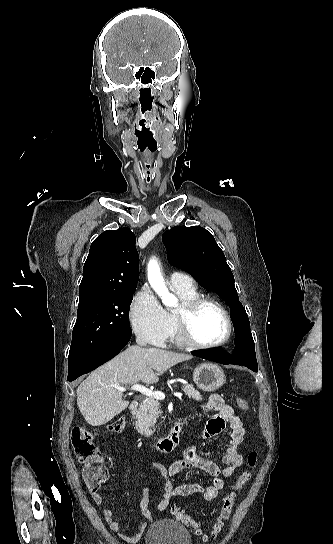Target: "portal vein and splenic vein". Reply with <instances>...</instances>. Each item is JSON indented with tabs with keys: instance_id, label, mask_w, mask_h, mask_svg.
I'll use <instances>...</instances> for the list:
<instances>
[{
	"instance_id": "portal-vein-and-splenic-vein-1",
	"label": "portal vein and splenic vein",
	"mask_w": 333,
	"mask_h": 544,
	"mask_svg": "<svg viewBox=\"0 0 333 544\" xmlns=\"http://www.w3.org/2000/svg\"><path fill=\"white\" fill-rule=\"evenodd\" d=\"M115 388L118 389L119 391L121 392H124L126 391V388L123 387V386H116L115 385ZM131 390H134V391H138L148 397H154L156 399H164L165 398V394L160 392V391H152L150 390L149 388L143 386V385H140V384H134L133 386H131ZM174 396L178 397V398H181L183 396L182 393H174Z\"/></svg>"
}]
</instances>
